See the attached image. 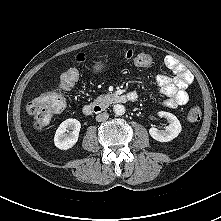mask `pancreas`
Instances as JSON below:
<instances>
[{"label": "pancreas", "instance_id": "obj_1", "mask_svg": "<svg viewBox=\"0 0 221 221\" xmlns=\"http://www.w3.org/2000/svg\"><path fill=\"white\" fill-rule=\"evenodd\" d=\"M113 94L100 95L94 100V104L108 105L113 101Z\"/></svg>", "mask_w": 221, "mask_h": 221}]
</instances>
